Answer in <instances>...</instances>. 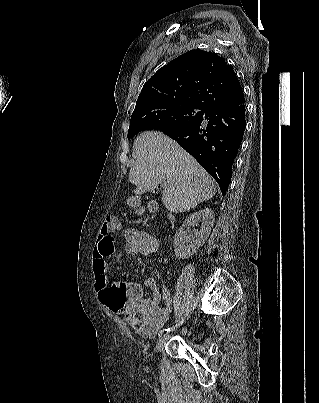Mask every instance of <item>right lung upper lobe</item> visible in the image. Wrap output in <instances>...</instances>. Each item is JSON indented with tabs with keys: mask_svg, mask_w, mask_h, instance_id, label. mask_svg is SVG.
Returning <instances> with one entry per match:
<instances>
[{
	"mask_svg": "<svg viewBox=\"0 0 319 403\" xmlns=\"http://www.w3.org/2000/svg\"><path fill=\"white\" fill-rule=\"evenodd\" d=\"M243 102L233 68L215 53L191 50L159 69L144 84L131 117L156 104H191L211 111Z\"/></svg>",
	"mask_w": 319,
	"mask_h": 403,
	"instance_id": "1",
	"label": "right lung upper lobe"
}]
</instances>
